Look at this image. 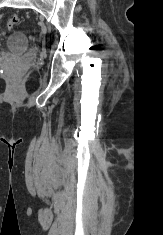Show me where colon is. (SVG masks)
Segmentation results:
<instances>
[{
	"instance_id": "obj_1",
	"label": "colon",
	"mask_w": 163,
	"mask_h": 235,
	"mask_svg": "<svg viewBox=\"0 0 163 235\" xmlns=\"http://www.w3.org/2000/svg\"><path fill=\"white\" fill-rule=\"evenodd\" d=\"M18 23H19V17L14 15L10 17L9 20L7 21V27L8 29H12L16 25H18Z\"/></svg>"
}]
</instances>
